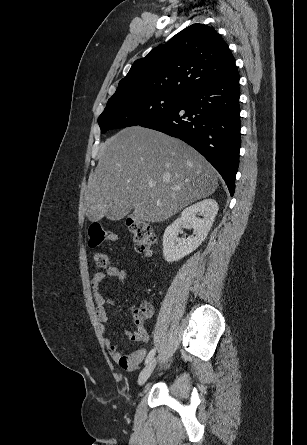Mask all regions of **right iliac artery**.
<instances>
[{"label":"right iliac artery","instance_id":"1","mask_svg":"<svg viewBox=\"0 0 307 445\" xmlns=\"http://www.w3.org/2000/svg\"><path fill=\"white\" fill-rule=\"evenodd\" d=\"M154 354H155V349H152L146 357L145 364H148L152 360Z\"/></svg>","mask_w":307,"mask_h":445}]
</instances>
